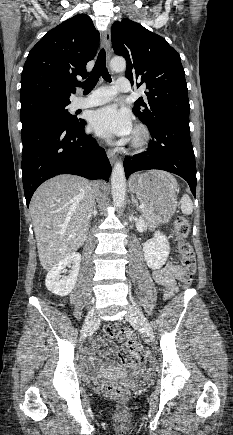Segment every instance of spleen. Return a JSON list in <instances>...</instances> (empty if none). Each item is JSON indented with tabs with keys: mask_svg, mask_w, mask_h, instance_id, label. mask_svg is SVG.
Wrapping results in <instances>:
<instances>
[{
	"mask_svg": "<svg viewBox=\"0 0 233 435\" xmlns=\"http://www.w3.org/2000/svg\"><path fill=\"white\" fill-rule=\"evenodd\" d=\"M181 211L185 215H190L193 212V202L187 194H184L181 198Z\"/></svg>",
	"mask_w": 233,
	"mask_h": 435,
	"instance_id": "1",
	"label": "spleen"
}]
</instances>
